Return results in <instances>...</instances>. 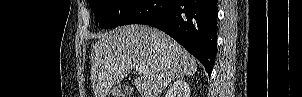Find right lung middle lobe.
<instances>
[{
	"label": "right lung middle lobe",
	"instance_id": "obj_1",
	"mask_svg": "<svg viewBox=\"0 0 302 97\" xmlns=\"http://www.w3.org/2000/svg\"><path fill=\"white\" fill-rule=\"evenodd\" d=\"M99 26L115 28L144 0H88Z\"/></svg>",
	"mask_w": 302,
	"mask_h": 97
}]
</instances>
